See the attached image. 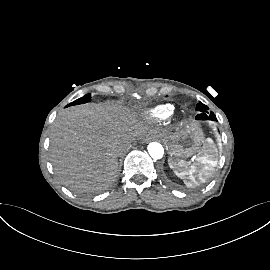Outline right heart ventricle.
Here are the masks:
<instances>
[{
    "mask_svg": "<svg viewBox=\"0 0 270 270\" xmlns=\"http://www.w3.org/2000/svg\"><path fill=\"white\" fill-rule=\"evenodd\" d=\"M174 111L172 104H160L147 112V117L153 121H163L169 118Z\"/></svg>",
    "mask_w": 270,
    "mask_h": 270,
    "instance_id": "1",
    "label": "right heart ventricle"
}]
</instances>
